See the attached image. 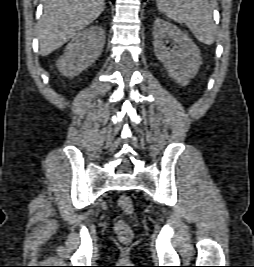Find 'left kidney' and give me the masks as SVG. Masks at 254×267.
Segmentation results:
<instances>
[{"instance_id": "obj_1", "label": "left kidney", "mask_w": 254, "mask_h": 267, "mask_svg": "<svg viewBox=\"0 0 254 267\" xmlns=\"http://www.w3.org/2000/svg\"><path fill=\"white\" fill-rule=\"evenodd\" d=\"M169 40L177 44L172 50L166 46ZM153 44L155 55L162 61L169 76L186 86L202 64L198 47L177 26L159 18L154 22Z\"/></svg>"}]
</instances>
